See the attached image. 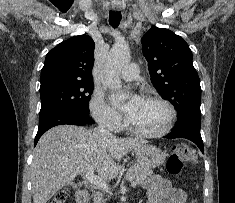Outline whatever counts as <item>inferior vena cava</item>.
I'll return each mask as SVG.
<instances>
[{
  "mask_svg": "<svg viewBox=\"0 0 235 203\" xmlns=\"http://www.w3.org/2000/svg\"><path fill=\"white\" fill-rule=\"evenodd\" d=\"M97 131L104 137H107V138H111L112 137V134L110 133V131L107 129L106 125L105 124H100L98 126V129Z\"/></svg>",
  "mask_w": 235,
  "mask_h": 203,
  "instance_id": "inferior-vena-cava-1",
  "label": "inferior vena cava"
}]
</instances>
